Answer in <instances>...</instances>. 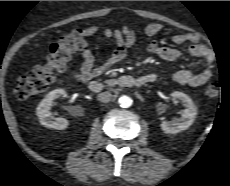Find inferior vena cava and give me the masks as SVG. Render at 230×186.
Returning a JSON list of instances; mask_svg holds the SVG:
<instances>
[{
	"instance_id": "obj_1",
	"label": "inferior vena cava",
	"mask_w": 230,
	"mask_h": 186,
	"mask_svg": "<svg viewBox=\"0 0 230 186\" xmlns=\"http://www.w3.org/2000/svg\"><path fill=\"white\" fill-rule=\"evenodd\" d=\"M112 99V94L109 91L102 92L98 94V100L103 103H108Z\"/></svg>"
}]
</instances>
